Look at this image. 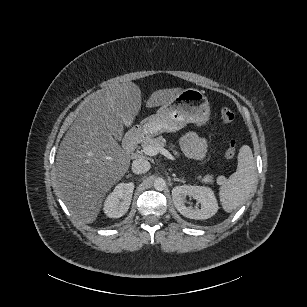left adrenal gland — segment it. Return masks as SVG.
Here are the masks:
<instances>
[{
  "label": "left adrenal gland",
  "mask_w": 307,
  "mask_h": 307,
  "mask_svg": "<svg viewBox=\"0 0 307 307\" xmlns=\"http://www.w3.org/2000/svg\"><path fill=\"white\" fill-rule=\"evenodd\" d=\"M173 180H174V181H180V182H184V179H181V178H177V177H174V178H173Z\"/></svg>",
  "instance_id": "a2214340"
}]
</instances>
